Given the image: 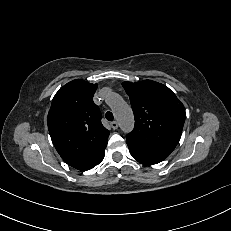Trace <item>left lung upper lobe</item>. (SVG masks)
<instances>
[{
    "mask_svg": "<svg viewBox=\"0 0 231 231\" xmlns=\"http://www.w3.org/2000/svg\"><path fill=\"white\" fill-rule=\"evenodd\" d=\"M135 116L134 130L126 141L143 151L169 156L176 147L185 121V108L165 85L145 80L123 82Z\"/></svg>",
    "mask_w": 231,
    "mask_h": 231,
    "instance_id": "1",
    "label": "left lung upper lobe"
}]
</instances>
